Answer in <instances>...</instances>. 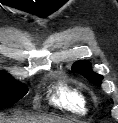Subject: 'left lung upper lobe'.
<instances>
[{"instance_id": "obj_1", "label": "left lung upper lobe", "mask_w": 118, "mask_h": 123, "mask_svg": "<svg viewBox=\"0 0 118 123\" xmlns=\"http://www.w3.org/2000/svg\"><path fill=\"white\" fill-rule=\"evenodd\" d=\"M72 70L74 72H78L83 75L86 79L92 82L95 85H100L103 77L95 72H93L90 68V64L87 61L76 62L72 66Z\"/></svg>"}]
</instances>
